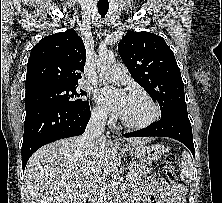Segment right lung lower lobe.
I'll list each match as a JSON object with an SVG mask.
<instances>
[{
	"label": "right lung lower lobe",
	"mask_w": 222,
	"mask_h": 203,
	"mask_svg": "<svg viewBox=\"0 0 222 203\" xmlns=\"http://www.w3.org/2000/svg\"><path fill=\"white\" fill-rule=\"evenodd\" d=\"M91 112L89 104L83 107L38 105L26 110L22 144V167L30 156L45 144L84 133Z\"/></svg>",
	"instance_id": "1"
}]
</instances>
